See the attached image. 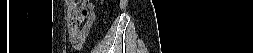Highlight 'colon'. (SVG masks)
Instances as JSON below:
<instances>
[{
    "label": "colon",
    "instance_id": "5ec220e1",
    "mask_svg": "<svg viewBox=\"0 0 253 53\" xmlns=\"http://www.w3.org/2000/svg\"><path fill=\"white\" fill-rule=\"evenodd\" d=\"M68 3V26L79 28L83 23H86L91 10L87 1H68Z\"/></svg>",
    "mask_w": 253,
    "mask_h": 53
}]
</instances>
